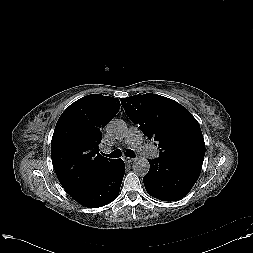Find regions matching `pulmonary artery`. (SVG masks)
<instances>
[{
	"mask_svg": "<svg viewBox=\"0 0 253 253\" xmlns=\"http://www.w3.org/2000/svg\"><path fill=\"white\" fill-rule=\"evenodd\" d=\"M125 142L127 145H130L131 147L138 149L144 155L155 154L152 148L144 144L143 135L140 132V130L137 129L136 127H131L129 129Z\"/></svg>",
	"mask_w": 253,
	"mask_h": 253,
	"instance_id": "1",
	"label": "pulmonary artery"
}]
</instances>
